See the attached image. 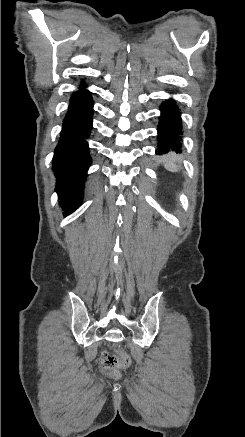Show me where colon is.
<instances>
[{
	"instance_id": "colon-1",
	"label": "colon",
	"mask_w": 245,
	"mask_h": 437,
	"mask_svg": "<svg viewBox=\"0 0 245 437\" xmlns=\"http://www.w3.org/2000/svg\"><path fill=\"white\" fill-rule=\"evenodd\" d=\"M131 363V359L128 354L123 351L117 354L103 353L100 357V364L106 371H111L115 375L119 370L127 368Z\"/></svg>"
}]
</instances>
